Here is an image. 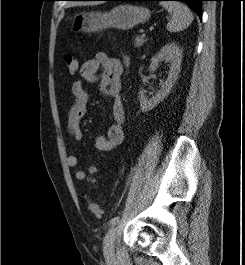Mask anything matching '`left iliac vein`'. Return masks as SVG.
I'll return each instance as SVG.
<instances>
[{
	"label": "left iliac vein",
	"mask_w": 245,
	"mask_h": 265,
	"mask_svg": "<svg viewBox=\"0 0 245 265\" xmlns=\"http://www.w3.org/2000/svg\"><path fill=\"white\" fill-rule=\"evenodd\" d=\"M117 226L113 225L107 232L103 242V252L106 258H112L115 253V240L117 235Z\"/></svg>",
	"instance_id": "obj_1"
}]
</instances>
